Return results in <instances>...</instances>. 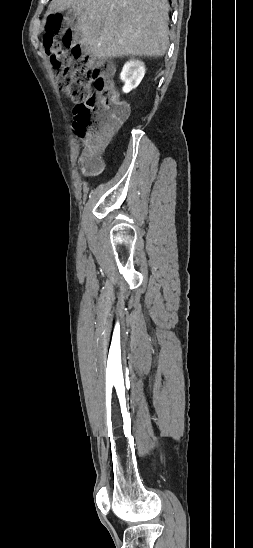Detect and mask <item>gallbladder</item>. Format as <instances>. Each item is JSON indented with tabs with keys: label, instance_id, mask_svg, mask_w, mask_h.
I'll use <instances>...</instances> for the list:
<instances>
[{
	"label": "gallbladder",
	"instance_id": "gallbladder-1",
	"mask_svg": "<svg viewBox=\"0 0 253 548\" xmlns=\"http://www.w3.org/2000/svg\"><path fill=\"white\" fill-rule=\"evenodd\" d=\"M66 17L68 19H75L76 17L75 11L73 9H69L66 13Z\"/></svg>",
	"mask_w": 253,
	"mask_h": 548
}]
</instances>
